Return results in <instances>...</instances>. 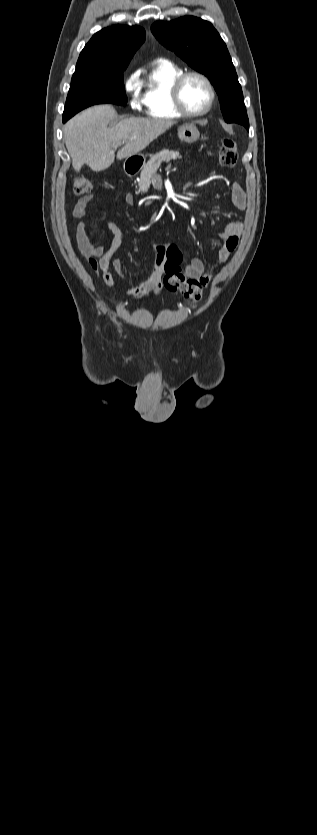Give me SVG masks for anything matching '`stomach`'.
Masks as SVG:
<instances>
[{
    "instance_id": "0dacf381",
    "label": "stomach",
    "mask_w": 317,
    "mask_h": 835,
    "mask_svg": "<svg viewBox=\"0 0 317 835\" xmlns=\"http://www.w3.org/2000/svg\"><path fill=\"white\" fill-rule=\"evenodd\" d=\"M178 137L182 142L191 144L199 139L200 132L194 124L187 123L178 128ZM132 157L139 163H143L145 160V156L143 154L134 155Z\"/></svg>"
}]
</instances>
